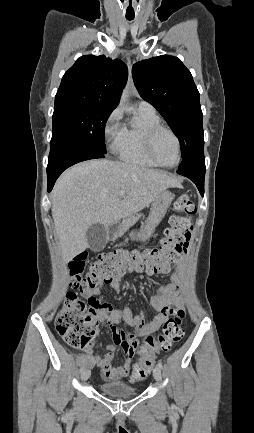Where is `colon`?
<instances>
[{
  "instance_id": "5ec220e1",
  "label": "colon",
  "mask_w": 254,
  "mask_h": 433,
  "mask_svg": "<svg viewBox=\"0 0 254 433\" xmlns=\"http://www.w3.org/2000/svg\"><path fill=\"white\" fill-rule=\"evenodd\" d=\"M174 208L184 216L170 218V226L165 230V236L158 247L144 252L131 253L129 268L124 264L123 252L113 251L102 254L89 264L86 273H84L86 256L80 254L69 264L71 285L83 293L90 292L124 275L128 270L157 273L164 269L170 261L185 255L188 251L192 230L187 217L193 216L196 208L186 194L176 199ZM99 303L95 297L84 301L75 293L67 295L55 319L56 331L67 345L91 351L99 334ZM183 317V310L174 311L165 321L159 334L147 335L143 344L136 348L140 357L133 367V381L146 378L155 365L156 355L170 351L175 344L180 342L184 335Z\"/></svg>"
}]
</instances>
